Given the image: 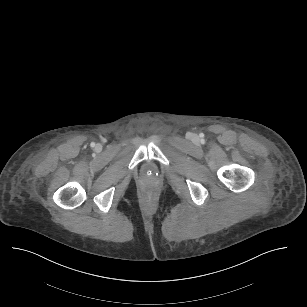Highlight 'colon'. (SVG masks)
Listing matches in <instances>:
<instances>
[{
  "instance_id": "colon-1",
  "label": "colon",
  "mask_w": 307,
  "mask_h": 307,
  "mask_svg": "<svg viewBox=\"0 0 307 307\" xmlns=\"http://www.w3.org/2000/svg\"><path fill=\"white\" fill-rule=\"evenodd\" d=\"M142 197L146 201H153L157 197V190L153 186H146L142 190Z\"/></svg>"
}]
</instances>
